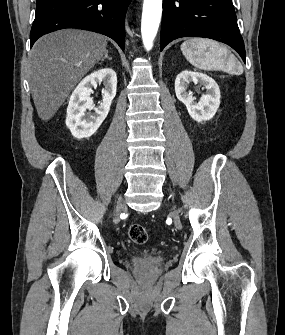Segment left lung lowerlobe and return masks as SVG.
<instances>
[{
  "label": "left lung lower lobe",
  "instance_id": "left-lung-lower-lobe-1",
  "mask_svg": "<svg viewBox=\"0 0 285 335\" xmlns=\"http://www.w3.org/2000/svg\"><path fill=\"white\" fill-rule=\"evenodd\" d=\"M180 37H204L228 44L245 62L232 0H163L160 50Z\"/></svg>",
  "mask_w": 285,
  "mask_h": 335
}]
</instances>
